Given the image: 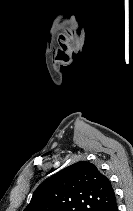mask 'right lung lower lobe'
I'll list each match as a JSON object with an SVG mask.
<instances>
[{
  "label": "right lung lower lobe",
  "mask_w": 133,
  "mask_h": 211,
  "mask_svg": "<svg viewBox=\"0 0 133 211\" xmlns=\"http://www.w3.org/2000/svg\"><path fill=\"white\" fill-rule=\"evenodd\" d=\"M110 211H118L117 204Z\"/></svg>",
  "instance_id": "right-lung-lower-lobe-1"
}]
</instances>
